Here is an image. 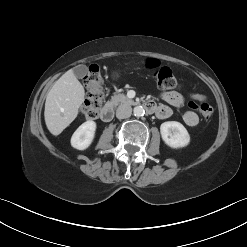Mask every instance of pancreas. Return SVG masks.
Returning <instances> with one entry per match:
<instances>
[{
    "label": "pancreas",
    "instance_id": "obj_1",
    "mask_svg": "<svg viewBox=\"0 0 247 247\" xmlns=\"http://www.w3.org/2000/svg\"><path fill=\"white\" fill-rule=\"evenodd\" d=\"M114 106H118L120 104H134V101L129 99L126 95L124 94H115L114 96L111 97L110 101Z\"/></svg>",
    "mask_w": 247,
    "mask_h": 247
}]
</instances>
